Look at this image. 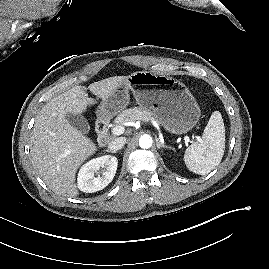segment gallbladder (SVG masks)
<instances>
[{
  "instance_id": "obj_1",
  "label": "gallbladder",
  "mask_w": 269,
  "mask_h": 269,
  "mask_svg": "<svg viewBox=\"0 0 269 269\" xmlns=\"http://www.w3.org/2000/svg\"><path fill=\"white\" fill-rule=\"evenodd\" d=\"M66 119L75 129L82 133H89L90 125L81 114L67 113Z\"/></svg>"
}]
</instances>
